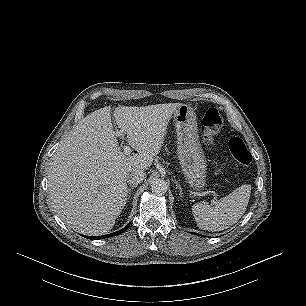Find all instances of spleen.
I'll list each match as a JSON object with an SVG mask.
<instances>
[{
  "mask_svg": "<svg viewBox=\"0 0 306 306\" xmlns=\"http://www.w3.org/2000/svg\"><path fill=\"white\" fill-rule=\"evenodd\" d=\"M251 193L250 185H242L215 205L201 202L192 206V212L199 228L208 231H222L235 224L246 211Z\"/></svg>",
  "mask_w": 306,
  "mask_h": 306,
  "instance_id": "spleen-1",
  "label": "spleen"
}]
</instances>
